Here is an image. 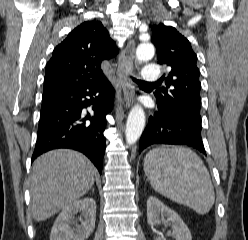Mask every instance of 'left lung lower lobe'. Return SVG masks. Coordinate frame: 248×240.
I'll return each mask as SVG.
<instances>
[{
  "instance_id": "left-lung-lower-lobe-1",
  "label": "left lung lower lobe",
  "mask_w": 248,
  "mask_h": 240,
  "mask_svg": "<svg viewBox=\"0 0 248 240\" xmlns=\"http://www.w3.org/2000/svg\"><path fill=\"white\" fill-rule=\"evenodd\" d=\"M201 129V116L198 113H176L158 108L150 116L140 138L139 152L155 144H173L192 147L206 155Z\"/></svg>"
}]
</instances>
